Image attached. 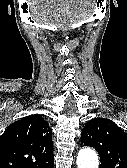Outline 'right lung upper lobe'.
Listing matches in <instances>:
<instances>
[{
  "instance_id": "1",
  "label": "right lung upper lobe",
  "mask_w": 127,
  "mask_h": 168,
  "mask_svg": "<svg viewBox=\"0 0 127 168\" xmlns=\"http://www.w3.org/2000/svg\"><path fill=\"white\" fill-rule=\"evenodd\" d=\"M52 130L38 114L12 124L0 136V168H51Z\"/></svg>"
}]
</instances>
